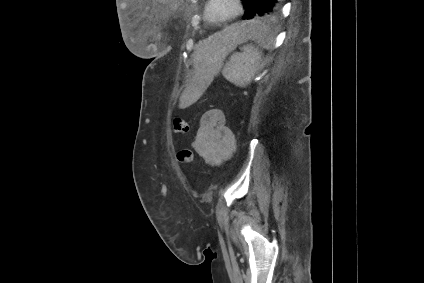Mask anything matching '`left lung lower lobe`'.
I'll return each mask as SVG.
<instances>
[{"instance_id":"1","label":"left lung lower lobe","mask_w":424,"mask_h":283,"mask_svg":"<svg viewBox=\"0 0 424 283\" xmlns=\"http://www.w3.org/2000/svg\"><path fill=\"white\" fill-rule=\"evenodd\" d=\"M255 17L264 16L275 12L281 5L280 0H260Z\"/></svg>"}]
</instances>
